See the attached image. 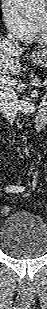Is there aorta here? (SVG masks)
I'll use <instances>...</instances> for the list:
<instances>
[{"mask_svg": "<svg viewBox=\"0 0 47 309\" xmlns=\"http://www.w3.org/2000/svg\"><path fill=\"white\" fill-rule=\"evenodd\" d=\"M25 14H30L35 9V0H15Z\"/></svg>", "mask_w": 47, "mask_h": 309, "instance_id": "1", "label": "aorta"}]
</instances>
